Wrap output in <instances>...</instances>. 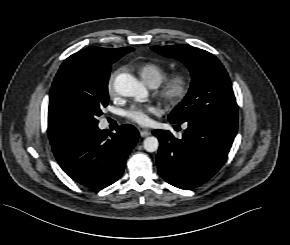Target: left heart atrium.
<instances>
[{
    "mask_svg": "<svg viewBox=\"0 0 290 245\" xmlns=\"http://www.w3.org/2000/svg\"><path fill=\"white\" fill-rule=\"evenodd\" d=\"M159 112V107L155 105H134L126 112V116L138 124L148 125L151 123V115Z\"/></svg>",
    "mask_w": 290,
    "mask_h": 245,
    "instance_id": "39dd6f15",
    "label": "left heart atrium"
}]
</instances>
